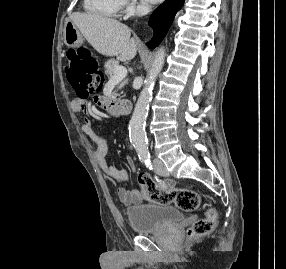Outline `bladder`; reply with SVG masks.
I'll list each match as a JSON object with an SVG mask.
<instances>
[{
  "label": "bladder",
  "instance_id": "obj_1",
  "mask_svg": "<svg viewBox=\"0 0 286 269\" xmlns=\"http://www.w3.org/2000/svg\"><path fill=\"white\" fill-rule=\"evenodd\" d=\"M130 227L139 234L155 233L180 222L183 214L179 209L164 203H144L127 208Z\"/></svg>",
  "mask_w": 286,
  "mask_h": 269
}]
</instances>
